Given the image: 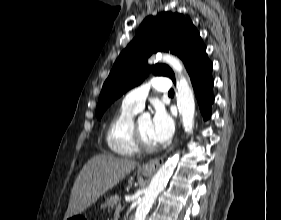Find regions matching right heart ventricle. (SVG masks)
Here are the masks:
<instances>
[{"label": "right heart ventricle", "instance_id": "e07e8e85", "mask_svg": "<svg viewBox=\"0 0 281 220\" xmlns=\"http://www.w3.org/2000/svg\"><path fill=\"white\" fill-rule=\"evenodd\" d=\"M137 113L138 110L123 102L114 114L106 135L107 145L113 153L123 157H132L139 153L132 138L134 116Z\"/></svg>", "mask_w": 281, "mask_h": 220}]
</instances>
